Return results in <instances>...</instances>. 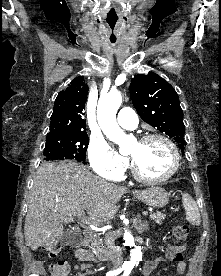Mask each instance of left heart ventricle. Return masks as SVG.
Wrapping results in <instances>:
<instances>
[{
  "mask_svg": "<svg viewBox=\"0 0 221 276\" xmlns=\"http://www.w3.org/2000/svg\"><path fill=\"white\" fill-rule=\"evenodd\" d=\"M129 154L139 170L148 177H160L167 174L173 165L172 153L167 144L159 139L148 142H135Z\"/></svg>",
  "mask_w": 221,
  "mask_h": 276,
  "instance_id": "1",
  "label": "left heart ventricle"
}]
</instances>
